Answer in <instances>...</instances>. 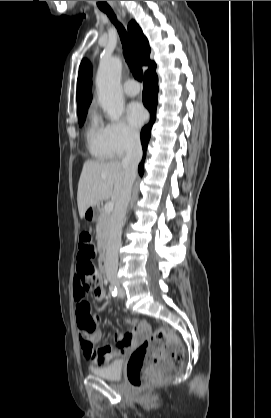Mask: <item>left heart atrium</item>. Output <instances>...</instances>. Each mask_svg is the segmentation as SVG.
<instances>
[{"instance_id":"left-heart-atrium-1","label":"left heart atrium","mask_w":271,"mask_h":418,"mask_svg":"<svg viewBox=\"0 0 271 418\" xmlns=\"http://www.w3.org/2000/svg\"><path fill=\"white\" fill-rule=\"evenodd\" d=\"M126 115L129 123L134 127L141 126L146 118V112L139 102L130 103Z\"/></svg>"}]
</instances>
